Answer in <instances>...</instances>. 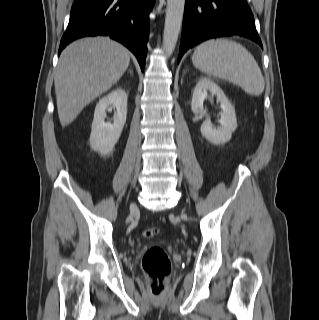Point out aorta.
I'll list each match as a JSON object with an SVG mask.
<instances>
[{
  "label": "aorta",
  "mask_w": 319,
  "mask_h": 320,
  "mask_svg": "<svg viewBox=\"0 0 319 320\" xmlns=\"http://www.w3.org/2000/svg\"><path fill=\"white\" fill-rule=\"evenodd\" d=\"M185 0H167L163 48L167 55L175 49L181 30Z\"/></svg>",
  "instance_id": "762f6f07"
}]
</instances>
